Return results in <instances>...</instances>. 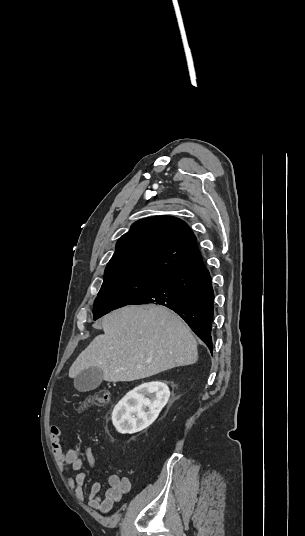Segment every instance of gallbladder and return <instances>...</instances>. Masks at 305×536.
<instances>
[{"label": "gallbladder", "mask_w": 305, "mask_h": 536, "mask_svg": "<svg viewBox=\"0 0 305 536\" xmlns=\"http://www.w3.org/2000/svg\"><path fill=\"white\" fill-rule=\"evenodd\" d=\"M103 382V372L97 366H91L87 370H82L76 378H74V388L78 392H89L95 390Z\"/></svg>", "instance_id": "1"}]
</instances>
